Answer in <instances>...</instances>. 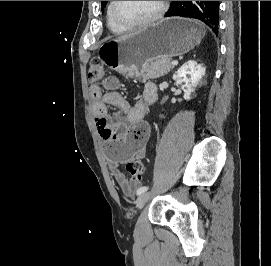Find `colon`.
Instances as JSON below:
<instances>
[{"label": "colon", "mask_w": 271, "mask_h": 266, "mask_svg": "<svg viewBox=\"0 0 271 266\" xmlns=\"http://www.w3.org/2000/svg\"><path fill=\"white\" fill-rule=\"evenodd\" d=\"M105 75V68L98 59H93L88 71V79L91 82L102 79ZM125 170L131 175L133 180L141 181L145 174V165L139 159H134L126 163Z\"/></svg>", "instance_id": "1"}]
</instances>
